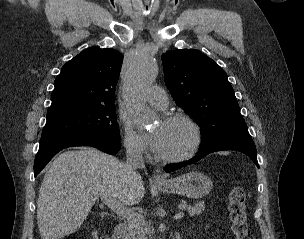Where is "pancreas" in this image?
Returning a JSON list of instances; mask_svg holds the SVG:
<instances>
[{
  "instance_id": "1",
  "label": "pancreas",
  "mask_w": 304,
  "mask_h": 239,
  "mask_svg": "<svg viewBox=\"0 0 304 239\" xmlns=\"http://www.w3.org/2000/svg\"><path fill=\"white\" fill-rule=\"evenodd\" d=\"M180 207L187 210L190 216H198L205 210L203 202H198L193 206L181 203ZM128 225L130 239H148V236L152 237L150 225L145 221L143 216H139L136 221H129Z\"/></svg>"
}]
</instances>
